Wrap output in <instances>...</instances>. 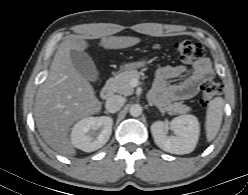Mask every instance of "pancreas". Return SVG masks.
<instances>
[{"label": "pancreas", "instance_id": "pancreas-1", "mask_svg": "<svg viewBox=\"0 0 248 195\" xmlns=\"http://www.w3.org/2000/svg\"><path fill=\"white\" fill-rule=\"evenodd\" d=\"M140 73L137 70H127L119 73L115 77L111 78L108 82L109 87L113 92H117L122 95H131L133 93V87L131 86L132 79H139ZM163 111H167L169 114H185L189 111V107L176 102L169 105Z\"/></svg>", "mask_w": 248, "mask_h": 195}]
</instances>
